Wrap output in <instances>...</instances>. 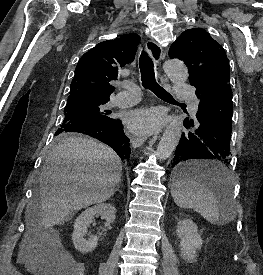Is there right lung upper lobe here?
<instances>
[{
    "instance_id": "obj_1",
    "label": "right lung upper lobe",
    "mask_w": 263,
    "mask_h": 275,
    "mask_svg": "<svg viewBox=\"0 0 263 275\" xmlns=\"http://www.w3.org/2000/svg\"><path fill=\"white\" fill-rule=\"evenodd\" d=\"M139 41V35L125 34L86 52L75 69L69 97L88 94L109 98L114 91L109 82L117 79L121 67L134 60Z\"/></svg>"
}]
</instances>
